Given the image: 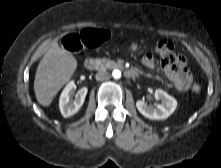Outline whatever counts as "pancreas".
<instances>
[{
	"mask_svg": "<svg viewBox=\"0 0 221 168\" xmlns=\"http://www.w3.org/2000/svg\"><path fill=\"white\" fill-rule=\"evenodd\" d=\"M95 64L97 65L98 69H111L117 67V63L114 62L113 60L109 59H95Z\"/></svg>",
	"mask_w": 221,
	"mask_h": 168,
	"instance_id": "1",
	"label": "pancreas"
}]
</instances>
